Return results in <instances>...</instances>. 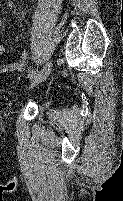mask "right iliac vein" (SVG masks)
Instances as JSON below:
<instances>
[{
  "instance_id": "obj_1",
  "label": "right iliac vein",
  "mask_w": 123,
  "mask_h": 201,
  "mask_svg": "<svg viewBox=\"0 0 123 201\" xmlns=\"http://www.w3.org/2000/svg\"><path fill=\"white\" fill-rule=\"evenodd\" d=\"M52 69V63L48 62L43 68L42 70L31 80L30 86H29V90L33 89L34 87H36L39 83H41L42 81H44L48 75L50 74Z\"/></svg>"
}]
</instances>
